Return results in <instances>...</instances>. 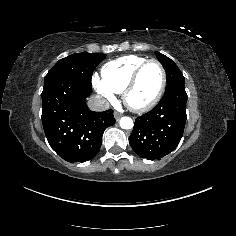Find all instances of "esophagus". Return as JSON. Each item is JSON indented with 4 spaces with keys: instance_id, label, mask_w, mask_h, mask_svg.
<instances>
[{
    "instance_id": "1",
    "label": "esophagus",
    "mask_w": 236,
    "mask_h": 236,
    "mask_svg": "<svg viewBox=\"0 0 236 236\" xmlns=\"http://www.w3.org/2000/svg\"><path fill=\"white\" fill-rule=\"evenodd\" d=\"M114 117H115V119L118 121V120L122 117V114L116 111V112L114 113Z\"/></svg>"
}]
</instances>
